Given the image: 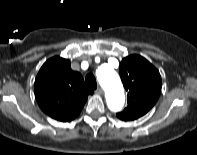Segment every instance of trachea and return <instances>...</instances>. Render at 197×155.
Masks as SVG:
<instances>
[{
	"instance_id": "3493384b",
	"label": "trachea",
	"mask_w": 197,
	"mask_h": 155,
	"mask_svg": "<svg viewBox=\"0 0 197 155\" xmlns=\"http://www.w3.org/2000/svg\"><path fill=\"white\" fill-rule=\"evenodd\" d=\"M85 81L90 88H92V89L97 88V82H96L95 76L93 74H91V73L88 74L85 78Z\"/></svg>"
}]
</instances>
